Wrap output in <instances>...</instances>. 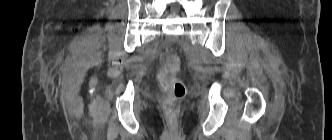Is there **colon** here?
<instances>
[{
  "label": "colon",
  "instance_id": "obj_1",
  "mask_svg": "<svg viewBox=\"0 0 332 140\" xmlns=\"http://www.w3.org/2000/svg\"><path fill=\"white\" fill-rule=\"evenodd\" d=\"M180 67L178 55L170 53L163 56V63L157 81L163 92L161 106L169 124L176 122L179 104L186 95L185 85L176 77Z\"/></svg>",
  "mask_w": 332,
  "mask_h": 140
}]
</instances>
